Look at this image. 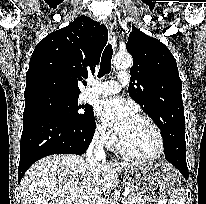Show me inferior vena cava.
<instances>
[{"label": "inferior vena cava", "instance_id": "obj_1", "mask_svg": "<svg viewBox=\"0 0 206 204\" xmlns=\"http://www.w3.org/2000/svg\"><path fill=\"white\" fill-rule=\"evenodd\" d=\"M106 141L105 133L96 134L87 150V160L91 163V171L97 172V166L105 161L104 144ZM85 204H102L99 192H92Z\"/></svg>", "mask_w": 206, "mask_h": 204}]
</instances>
